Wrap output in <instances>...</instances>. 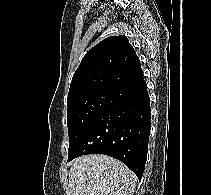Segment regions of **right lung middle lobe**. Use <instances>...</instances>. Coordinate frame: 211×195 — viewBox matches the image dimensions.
Returning a JSON list of instances; mask_svg holds the SVG:
<instances>
[{
  "label": "right lung middle lobe",
  "mask_w": 211,
  "mask_h": 195,
  "mask_svg": "<svg viewBox=\"0 0 211 195\" xmlns=\"http://www.w3.org/2000/svg\"><path fill=\"white\" fill-rule=\"evenodd\" d=\"M112 90L91 89L68 97L67 126L71 152L105 107Z\"/></svg>",
  "instance_id": "right-lung-middle-lobe-1"
}]
</instances>
